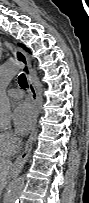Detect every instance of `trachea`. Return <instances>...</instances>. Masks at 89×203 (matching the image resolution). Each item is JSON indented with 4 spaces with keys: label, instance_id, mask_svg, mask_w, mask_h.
Here are the masks:
<instances>
[{
    "label": "trachea",
    "instance_id": "1",
    "mask_svg": "<svg viewBox=\"0 0 89 203\" xmlns=\"http://www.w3.org/2000/svg\"><path fill=\"white\" fill-rule=\"evenodd\" d=\"M18 82H19V85L23 88V89H27L29 86H28V82H27V79H26V76L25 74H20L19 77H18Z\"/></svg>",
    "mask_w": 89,
    "mask_h": 203
}]
</instances>
